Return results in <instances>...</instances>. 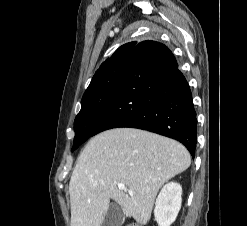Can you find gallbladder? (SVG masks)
Listing matches in <instances>:
<instances>
[{"mask_svg":"<svg viewBox=\"0 0 247 226\" xmlns=\"http://www.w3.org/2000/svg\"><path fill=\"white\" fill-rule=\"evenodd\" d=\"M124 214L117 203H111L101 226H122Z\"/></svg>","mask_w":247,"mask_h":226,"instance_id":"1","label":"gallbladder"}]
</instances>
